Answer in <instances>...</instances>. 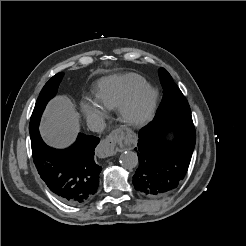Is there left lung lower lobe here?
I'll use <instances>...</instances> for the list:
<instances>
[{
  "mask_svg": "<svg viewBox=\"0 0 246 246\" xmlns=\"http://www.w3.org/2000/svg\"><path fill=\"white\" fill-rule=\"evenodd\" d=\"M174 132L172 142L166 140ZM192 118L156 119L139 131L135 148L139 167L133 176L137 191L148 197H160L175 189L184 178L195 147Z\"/></svg>",
  "mask_w": 246,
  "mask_h": 246,
  "instance_id": "1",
  "label": "left lung lower lobe"
}]
</instances>
